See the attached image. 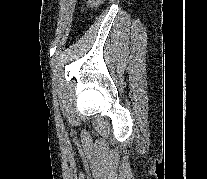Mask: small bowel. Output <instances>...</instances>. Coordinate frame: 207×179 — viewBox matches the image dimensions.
<instances>
[{
    "label": "small bowel",
    "mask_w": 207,
    "mask_h": 179,
    "mask_svg": "<svg viewBox=\"0 0 207 179\" xmlns=\"http://www.w3.org/2000/svg\"><path fill=\"white\" fill-rule=\"evenodd\" d=\"M101 2H103V0H88V4L90 5H95Z\"/></svg>",
    "instance_id": "1"
}]
</instances>
